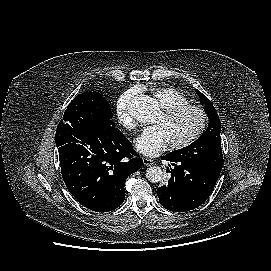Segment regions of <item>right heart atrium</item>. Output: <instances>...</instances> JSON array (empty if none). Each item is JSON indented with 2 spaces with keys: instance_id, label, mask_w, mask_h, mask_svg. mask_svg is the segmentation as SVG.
<instances>
[{
  "instance_id": "d8ad5b80",
  "label": "right heart atrium",
  "mask_w": 271,
  "mask_h": 271,
  "mask_svg": "<svg viewBox=\"0 0 271 271\" xmlns=\"http://www.w3.org/2000/svg\"><path fill=\"white\" fill-rule=\"evenodd\" d=\"M138 95V89L132 88L122 93L116 103V115L118 122L127 130H133L136 122L131 113V104Z\"/></svg>"
}]
</instances>
